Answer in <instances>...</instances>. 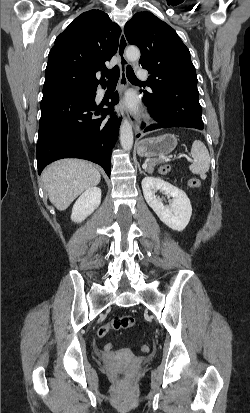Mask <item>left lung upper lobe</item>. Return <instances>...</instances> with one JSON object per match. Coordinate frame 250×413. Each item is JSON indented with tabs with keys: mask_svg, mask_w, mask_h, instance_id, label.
I'll return each mask as SVG.
<instances>
[{
	"mask_svg": "<svg viewBox=\"0 0 250 413\" xmlns=\"http://www.w3.org/2000/svg\"><path fill=\"white\" fill-rule=\"evenodd\" d=\"M124 33L141 50L139 64L148 70L153 92L164 93L183 84L197 86L189 49L168 24L150 12H139L126 23Z\"/></svg>",
	"mask_w": 250,
	"mask_h": 413,
	"instance_id": "obj_1",
	"label": "left lung upper lobe"
}]
</instances>
